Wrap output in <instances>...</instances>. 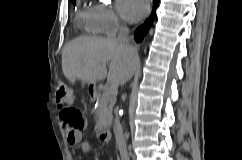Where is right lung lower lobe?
<instances>
[{"label":"right lung lower lobe","mask_w":242,"mask_h":160,"mask_svg":"<svg viewBox=\"0 0 242 160\" xmlns=\"http://www.w3.org/2000/svg\"><path fill=\"white\" fill-rule=\"evenodd\" d=\"M154 2L157 5L159 3V0H154ZM156 5H155V8H156ZM152 18H153V14L148 21H146L142 26H140L136 30V32L134 34L136 41H141L143 36L148 32V30L150 29L151 23H152Z\"/></svg>","instance_id":"98d812e1"}]
</instances>
